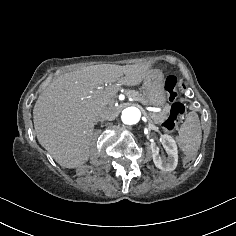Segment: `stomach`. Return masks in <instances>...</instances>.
Segmentation results:
<instances>
[{"label": "stomach", "mask_w": 236, "mask_h": 236, "mask_svg": "<svg viewBox=\"0 0 236 236\" xmlns=\"http://www.w3.org/2000/svg\"><path fill=\"white\" fill-rule=\"evenodd\" d=\"M152 74L143 80L144 100L148 105L163 106L166 96L163 89V74L160 70H151Z\"/></svg>", "instance_id": "stomach-1"}]
</instances>
